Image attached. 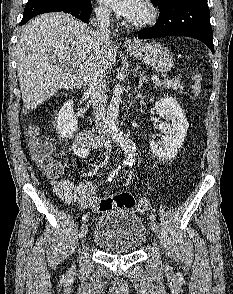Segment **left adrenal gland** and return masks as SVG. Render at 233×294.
Wrapping results in <instances>:
<instances>
[{
  "instance_id": "1",
  "label": "left adrenal gland",
  "mask_w": 233,
  "mask_h": 294,
  "mask_svg": "<svg viewBox=\"0 0 233 294\" xmlns=\"http://www.w3.org/2000/svg\"><path fill=\"white\" fill-rule=\"evenodd\" d=\"M143 83H146V78H145L144 73H142V74L140 75V80H139L138 89H140V88L142 87Z\"/></svg>"
}]
</instances>
